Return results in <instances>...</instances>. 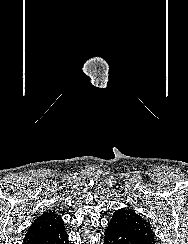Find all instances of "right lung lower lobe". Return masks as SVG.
I'll return each mask as SVG.
<instances>
[{"instance_id":"right-lung-lower-lobe-1","label":"right lung lower lobe","mask_w":188,"mask_h":244,"mask_svg":"<svg viewBox=\"0 0 188 244\" xmlns=\"http://www.w3.org/2000/svg\"><path fill=\"white\" fill-rule=\"evenodd\" d=\"M25 244H69L64 226L37 236Z\"/></svg>"}]
</instances>
